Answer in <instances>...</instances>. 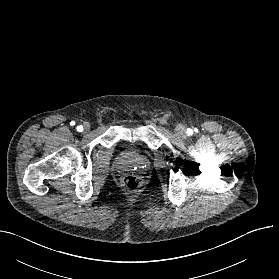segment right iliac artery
I'll return each instance as SVG.
<instances>
[{"label": "right iliac artery", "mask_w": 279, "mask_h": 279, "mask_svg": "<svg viewBox=\"0 0 279 279\" xmlns=\"http://www.w3.org/2000/svg\"><path fill=\"white\" fill-rule=\"evenodd\" d=\"M74 124H75V122H71V125H74ZM77 131L82 132L83 131V126L82 125L78 126Z\"/></svg>", "instance_id": "1"}]
</instances>
